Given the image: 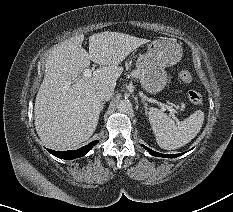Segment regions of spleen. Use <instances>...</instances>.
Returning <instances> with one entry per match:
<instances>
[{"instance_id": "obj_1", "label": "spleen", "mask_w": 233, "mask_h": 212, "mask_svg": "<svg viewBox=\"0 0 233 212\" xmlns=\"http://www.w3.org/2000/svg\"><path fill=\"white\" fill-rule=\"evenodd\" d=\"M147 115L159 147L166 150L178 149L189 143L200 132L204 122L202 110L195 111L181 123L153 107Z\"/></svg>"}]
</instances>
